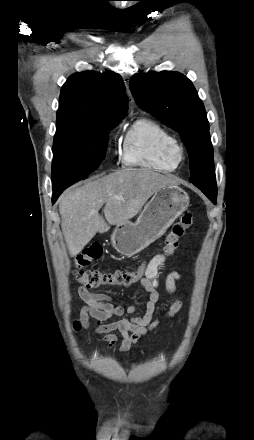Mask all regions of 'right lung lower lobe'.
<instances>
[{
	"label": "right lung lower lobe",
	"mask_w": 254,
	"mask_h": 440,
	"mask_svg": "<svg viewBox=\"0 0 254 440\" xmlns=\"http://www.w3.org/2000/svg\"><path fill=\"white\" fill-rule=\"evenodd\" d=\"M68 186H69L68 184H62L53 187V197H52L53 203L56 201L57 197L61 194V192Z\"/></svg>",
	"instance_id": "1"
}]
</instances>
